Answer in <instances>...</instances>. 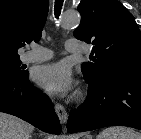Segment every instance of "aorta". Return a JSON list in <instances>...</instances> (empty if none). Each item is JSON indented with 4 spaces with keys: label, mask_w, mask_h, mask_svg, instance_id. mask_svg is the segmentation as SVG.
Here are the masks:
<instances>
[{
    "label": "aorta",
    "mask_w": 141,
    "mask_h": 139,
    "mask_svg": "<svg viewBox=\"0 0 141 139\" xmlns=\"http://www.w3.org/2000/svg\"><path fill=\"white\" fill-rule=\"evenodd\" d=\"M80 23V15L75 11H67L61 19V26L65 29H70L78 26Z\"/></svg>",
    "instance_id": "aorta-1"
}]
</instances>
